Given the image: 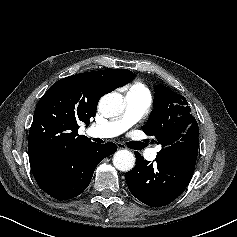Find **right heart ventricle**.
<instances>
[{
  "label": "right heart ventricle",
  "mask_w": 237,
  "mask_h": 237,
  "mask_svg": "<svg viewBox=\"0 0 237 237\" xmlns=\"http://www.w3.org/2000/svg\"><path fill=\"white\" fill-rule=\"evenodd\" d=\"M129 91H135V92H138V93L148 94L147 87L142 83H135L134 85L131 86Z\"/></svg>",
  "instance_id": "1"
}]
</instances>
